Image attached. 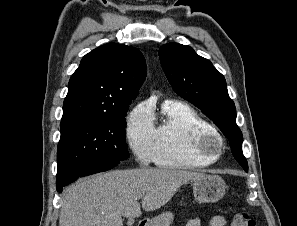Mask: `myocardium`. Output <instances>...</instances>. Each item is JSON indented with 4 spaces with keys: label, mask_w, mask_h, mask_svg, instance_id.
Returning a JSON list of instances; mask_svg holds the SVG:
<instances>
[{
    "label": "myocardium",
    "mask_w": 297,
    "mask_h": 226,
    "mask_svg": "<svg viewBox=\"0 0 297 226\" xmlns=\"http://www.w3.org/2000/svg\"><path fill=\"white\" fill-rule=\"evenodd\" d=\"M224 145L221 134L214 128L198 132L192 140V147L196 154L216 159Z\"/></svg>",
    "instance_id": "f54148a6"
}]
</instances>
